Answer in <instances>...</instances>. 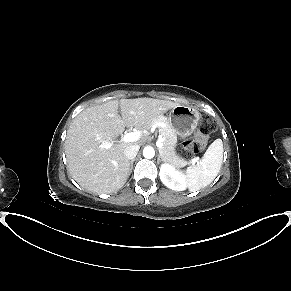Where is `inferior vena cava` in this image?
<instances>
[{
  "label": "inferior vena cava",
  "mask_w": 291,
  "mask_h": 291,
  "mask_svg": "<svg viewBox=\"0 0 291 291\" xmlns=\"http://www.w3.org/2000/svg\"><path fill=\"white\" fill-rule=\"evenodd\" d=\"M139 151V145H129L124 150V155L127 159L132 160L136 157Z\"/></svg>",
  "instance_id": "1"
}]
</instances>
